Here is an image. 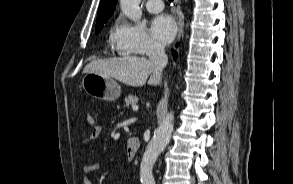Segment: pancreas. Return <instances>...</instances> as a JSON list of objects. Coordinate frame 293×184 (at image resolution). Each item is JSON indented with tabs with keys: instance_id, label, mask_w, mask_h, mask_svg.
<instances>
[{
	"instance_id": "1",
	"label": "pancreas",
	"mask_w": 293,
	"mask_h": 184,
	"mask_svg": "<svg viewBox=\"0 0 293 184\" xmlns=\"http://www.w3.org/2000/svg\"><path fill=\"white\" fill-rule=\"evenodd\" d=\"M139 99L138 97L134 96V95H128L126 98H125V103H126V106H135L137 103H138Z\"/></svg>"
}]
</instances>
